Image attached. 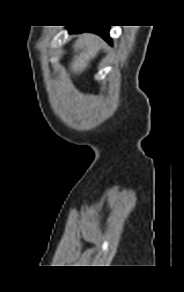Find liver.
Returning a JSON list of instances; mask_svg holds the SVG:
<instances>
[{"instance_id":"1","label":"liver","mask_w":184,"mask_h":292,"mask_svg":"<svg viewBox=\"0 0 184 292\" xmlns=\"http://www.w3.org/2000/svg\"><path fill=\"white\" fill-rule=\"evenodd\" d=\"M100 46L98 36L91 33L79 35L78 40L73 45L77 54L70 63L71 72L79 75L85 71L90 61L97 56Z\"/></svg>"}]
</instances>
